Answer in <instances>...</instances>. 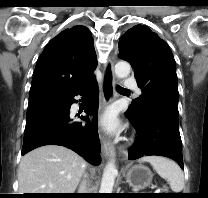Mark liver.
Here are the masks:
<instances>
[{
  "instance_id": "1",
  "label": "liver",
  "mask_w": 208,
  "mask_h": 198,
  "mask_svg": "<svg viewBox=\"0 0 208 198\" xmlns=\"http://www.w3.org/2000/svg\"><path fill=\"white\" fill-rule=\"evenodd\" d=\"M85 169L86 161L66 147H39L21 159L19 192L74 193Z\"/></svg>"
}]
</instances>
